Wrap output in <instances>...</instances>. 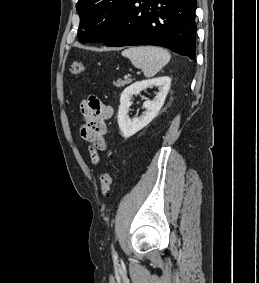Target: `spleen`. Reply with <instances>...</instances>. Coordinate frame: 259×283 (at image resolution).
<instances>
[{"mask_svg":"<svg viewBox=\"0 0 259 283\" xmlns=\"http://www.w3.org/2000/svg\"><path fill=\"white\" fill-rule=\"evenodd\" d=\"M122 56L127 57L134 67L142 69L147 78L155 76L171 58L167 50L156 46L130 47L122 51Z\"/></svg>","mask_w":259,"mask_h":283,"instance_id":"obj_1","label":"spleen"}]
</instances>
